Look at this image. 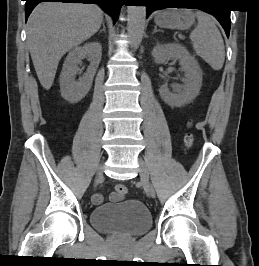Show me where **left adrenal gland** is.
I'll return each mask as SVG.
<instances>
[{
    "mask_svg": "<svg viewBox=\"0 0 259 266\" xmlns=\"http://www.w3.org/2000/svg\"><path fill=\"white\" fill-rule=\"evenodd\" d=\"M159 31H161V30H158L157 27L155 26V27H154L153 34L156 33V32H159Z\"/></svg>",
    "mask_w": 259,
    "mask_h": 266,
    "instance_id": "a2214340",
    "label": "left adrenal gland"
}]
</instances>
